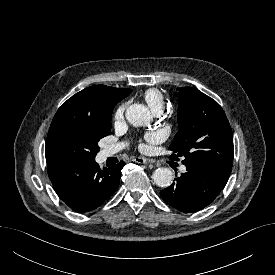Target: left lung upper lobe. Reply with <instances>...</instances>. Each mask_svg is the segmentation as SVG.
Listing matches in <instances>:
<instances>
[{"label":"left lung upper lobe","instance_id":"5c2ea615","mask_svg":"<svg viewBox=\"0 0 275 275\" xmlns=\"http://www.w3.org/2000/svg\"><path fill=\"white\" fill-rule=\"evenodd\" d=\"M177 132L169 149L170 159L184 157V165L209 164L232 169L233 135L222 107L191 87L178 93Z\"/></svg>","mask_w":275,"mask_h":275}]
</instances>
